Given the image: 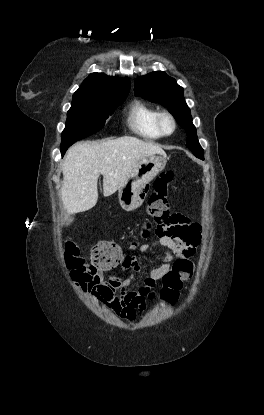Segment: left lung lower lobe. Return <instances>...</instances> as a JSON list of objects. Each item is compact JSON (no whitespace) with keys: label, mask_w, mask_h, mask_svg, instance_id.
Masks as SVG:
<instances>
[{"label":"left lung lower lobe","mask_w":264,"mask_h":415,"mask_svg":"<svg viewBox=\"0 0 264 415\" xmlns=\"http://www.w3.org/2000/svg\"><path fill=\"white\" fill-rule=\"evenodd\" d=\"M196 157L200 158V159H204L203 155H197Z\"/></svg>","instance_id":"obj_1"}]
</instances>
